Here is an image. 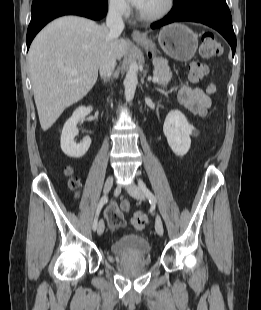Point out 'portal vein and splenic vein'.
<instances>
[{"instance_id":"18ae733b","label":"portal vein and splenic vein","mask_w":261,"mask_h":310,"mask_svg":"<svg viewBox=\"0 0 261 310\" xmlns=\"http://www.w3.org/2000/svg\"><path fill=\"white\" fill-rule=\"evenodd\" d=\"M67 72H69V73H74V72H76V71L73 70V69H67ZM158 81H159V79H158L157 77H153V79H152V82H153V83H158Z\"/></svg>"}]
</instances>
